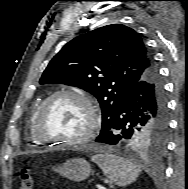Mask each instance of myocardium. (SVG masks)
<instances>
[{"instance_id": "obj_1", "label": "myocardium", "mask_w": 188, "mask_h": 189, "mask_svg": "<svg viewBox=\"0 0 188 189\" xmlns=\"http://www.w3.org/2000/svg\"><path fill=\"white\" fill-rule=\"evenodd\" d=\"M68 96L74 97L82 101L89 112V122L86 129L77 137L70 139H48L41 135V122L42 118L47 111L50 104L59 97ZM100 123V114L99 110L93 101V99L82 91L63 89L56 91L47 97L39 106L32 126V131L34 138L40 144H53L59 146H72L76 144H80L85 140L89 139L98 129Z\"/></svg>"}]
</instances>
